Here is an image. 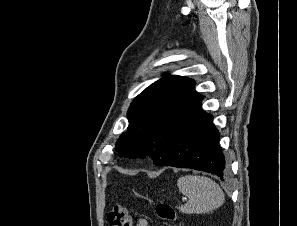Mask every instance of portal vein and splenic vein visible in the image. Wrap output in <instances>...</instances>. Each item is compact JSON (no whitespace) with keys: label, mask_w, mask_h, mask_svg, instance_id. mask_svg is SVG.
Masks as SVG:
<instances>
[{"label":"portal vein and splenic vein","mask_w":297,"mask_h":226,"mask_svg":"<svg viewBox=\"0 0 297 226\" xmlns=\"http://www.w3.org/2000/svg\"><path fill=\"white\" fill-rule=\"evenodd\" d=\"M182 200H183V201H185V200H186V198H182Z\"/></svg>","instance_id":"1"}]
</instances>
